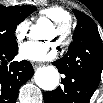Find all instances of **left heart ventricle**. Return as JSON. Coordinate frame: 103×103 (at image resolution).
Listing matches in <instances>:
<instances>
[{
  "label": "left heart ventricle",
  "instance_id": "1",
  "mask_svg": "<svg viewBox=\"0 0 103 103\" xmlns=\"http://www.w3.org/2000/svg\"><path fill=\"white\" fill-rule=\"evenodd\" d=\"M56 36H57V32H56L55 28L52 27L49 30L48 34L46 35V38L49 40H52V39H56Z\"/></svg>",
  "mask_w": 103,
  "mask_h": 103
}]
</instances>
